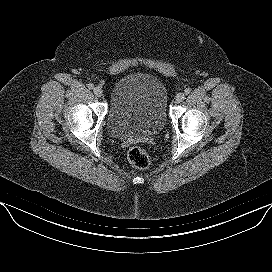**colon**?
Segmentation results:
<instances>
[{
  "mask_svg": "<svg viewBox=\"0 0 272 272\" xmlns=\"http://www.w3.org/2000/svg\"><path fill=\"white\" fill-rule=\"evenodd\" d=\"M129 162L138 169H146L149 166V156L141 146H132L127 154Z\"/></svg>",
  "mask_w": 272,
  "mask_h": 272,
  "instance_id": "colon-1",
  "label": "colon"
}]
</instances>
